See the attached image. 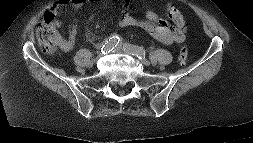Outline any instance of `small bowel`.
I'll list each match as a JSON object with an SVG mask.
<instances>
[{
  "label": "small bowel",
  "mask_w": 253,
  "mask_h": 143,
  "mask_svg": "<svg viewBox=\"0 0 253 143\" xmlns=\"http://www.w3.org/2000/svg\"><path fill=\"white\" fill-rule=\"evenodd\" d=\"M101 0H56L51 7V12L56 13L60 8L70 5L75 12L82 8L100 2ZM123 14L118 23L121 27L139 26L146 30L156 40L170 45L173 43H182L185 40L184 19L182 14L174 7L168 6V14L174 26L168 21L160 18L155 12L148 11L144 17H138L129 12L130 0H120ZM54 25L61 27V21L54 19ZM78 36V28L76 22H72L69 26L68 38L61 42L64 51H69L74 47ZM92 40L94 37L89 35Z\"/></svg>",
  "instance_id": "obj_1"
}]
</instances>
